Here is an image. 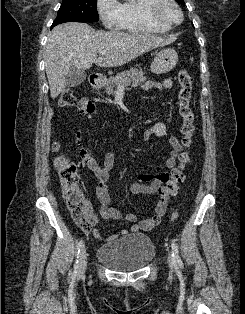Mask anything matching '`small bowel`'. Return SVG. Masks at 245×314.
Masks as SVG:
<instances>
[{
  "label": "small bowel",
  "mask_w": 245,
  "mask_h": 314,
  "mask_svg": "<svg viewBox=\"0 0 245 314\" xmlns=\"http://www.w3.org/2000/svg\"><path fill=\"white\" fill-rule=\"evenodd\" d=\"M172 85L173 82L171 79H165L161 83L147 81L143 83L142 87L144 89L156 88L159 91H163L164 89L171 88ZM77 109L81 115L87 118H91L92 114L95 111V106L92 101L83 98L79 101ZM166 135L167 127L165 123L158 121L144 131V140L148 141L153 137L162 138ZM76 139L83 163L88 167L91 172H93L97 176L99 180V183L96 187V195L101 203L100 215L108 220H126L130 222L132 224V232L148 231L159 225L167 207V204H164L161 201H159L156 207L155 214L150 215L146 219L139 222L138 217L135 213L123 214L119 210L109 206L110 195L106 182L109 179L110 171L115 164V154L113 152L107 153L104 158L103 166H100L95 158L94 151L92 149L85 148L82 144V134L80 131L77 132ZM168 143L171 149L169 152V156L165 160V166L168 169H173L176 166V162L178 157L180 156L181 151L183 150V146L179 138L175 136L169 137ZM170 177L171 174L169 172H161L155 175L141 174L138 176L137 182H134L129 186V191L132 194L137 195L153 194L160 188L163 183L168 182ZM86 211L88 212L92 222L96 223V219L92 214L91 207L88 201H86ZM88 232L102 242L111 243L119 237L127 234L128 231L121 230L119 233L107 237L102 236L96 228H91Z\"/></svg>",
  "instance_id": "obj_1"
}]
</instances>
